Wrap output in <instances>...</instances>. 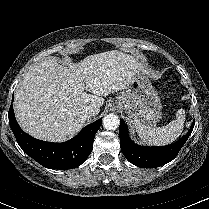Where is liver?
Listing matches in <instances>:
<instances>
[{
    "mask_svg": "<svg viewBox=\"0 0 209 209\" xmlns=\"http://www.w3.org/2000/svg\"><path fill=\"white\" fill-rule=\"evenodd\" d=\"M141 68L133 56L117 50L87 56L68 67L58 64L56 57L42 60L30 67L17 86L15 117L37 139L66 141L90 119L87 106L98 114L103 96L126 89Z\"/></svg>",
    "mask_w": 209,
    "mask_h": 209,
    "instance_id": "obj_1",
    "label": "liver"
}]
</instances>
